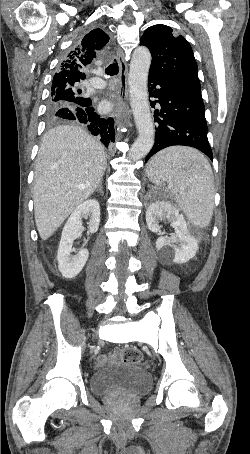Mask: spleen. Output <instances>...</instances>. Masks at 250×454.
<instances>
[{
	"label": "spleen",
	"instance_id": "3e777b00",
	"mask_svg": "<svg viewBox=\"0 0 250 454\" xmlns=\"http://www.w3.org/2000/svg\"><path fill=\"white\" fill-rule=\"evenodd\" d=\"M147 176L152 183L170 184L180 209L200 228L210 224L214 208V177L208 160L199 151L173 146L157 153L148 163Z\"/></svg>",
	"mask_w": 250,
	"mask_h": 454
}]
</instances>
